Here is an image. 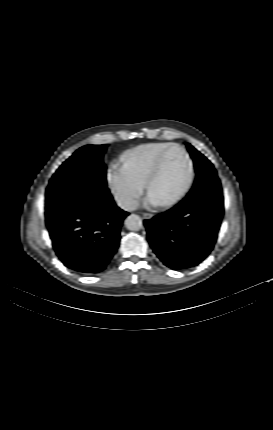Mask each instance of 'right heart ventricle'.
I'll list each match as a JSON object with an SVG mask.
<instances>
[{"label": "right heart ventricle", "instance_id": "obj_1", "mask_svg": "<svg viewBox=\"0 0 273 430\" xmlns=\"http://www.w3.org/2000/svg\"><path fill=\"white\" fill-rule=\"evenodd\" d=\"M169 142H151L141 144L135 148L126 151L122 157V164L130 174L145 184L148 174L150 173L160 152L171 145Z\"/></svg>", "mask_w": 273, "mask_h": 430}]
</instances>
